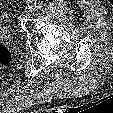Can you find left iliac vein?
<instances>
[{
  "instance_id": "obj_1",
  "label": "left iliac vein",
  "mask_w": 113,
  "mask_h": 113,
  "mask_svg": "<svg viewBox=\"0 0 113 113\" xmlns=\"http://www.w3.org/2000/svg\"><path fill=\"white\" fill-rule=\"evenodd\" d=\"M35 12V7L33 5H30L26 9L27 15H32Z\"/></svg>"
}]
</instances>
